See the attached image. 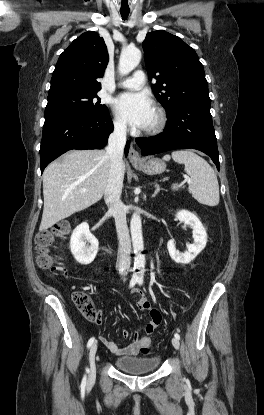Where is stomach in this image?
<instances>
[{"instance_id": "0dacf381", "label": "stomach", "mask_w": 264, "mask_h": 415, "mask_svg": "<svg viewBox=\"0 0 264 415\" xmlns=\"http://www.w3.org/2000/svg\"><path fill=\"white\" fill-rule=\"evenodd\" d=\"M134 166L147 175L161 174L166 170L165 162L158 158L148 159L139 164L135 163Z\"/></svg>"}]
</instances>
